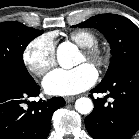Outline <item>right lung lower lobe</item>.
Masks as SVG:
<instances>
[{
  "label": "right lung lower lobe",
  "instance_id": "obj_1",
  "mask_svg": "<svg viewBox=\"0 0 139 139\" xmlns=\"http://www.w3.org/2000/svg\"><path fill=\"white\" fill-rule=\"evenodd\" d=\"M40 88L32 77L0 69V139H46L53 112L65 105L62 97L30 102ZM28 106H27V105Z\"/></svg>",
  "mask_w": 139,
  "mask_h": 139
}]
</instances>
